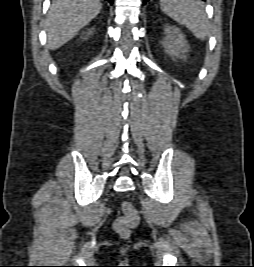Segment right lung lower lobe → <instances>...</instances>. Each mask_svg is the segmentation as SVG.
Returning a JSON list of instances; mask_svg holds the SVG:
<instances>
[{
  "instance_id": "obj_1",
  "label": "right lung lower lobe",
  "mask_w": 254,
  "mask_h": 267,
  "mask_svg": "<svg viewBox=\"0 0 254 267\" xmlns=\"http://www.w3.org/2000/svg\"><path fill=\"white\" fill-rule=\"evenodd\" d=\"M110 4H113V0H107Z\"/></svg>"
}]
</instances>
